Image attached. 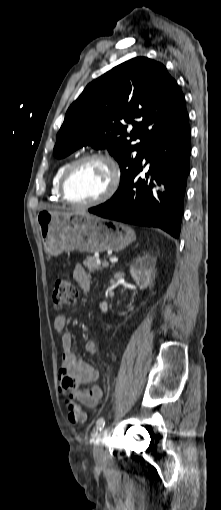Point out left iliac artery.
<instances>
[{
  "instance_id": "44dca946",
  "label": "left iliac artery",
  "mask_w": 221,
  "mask_h": 510,
  "mask_svg": "<svg viewBox=\"0 0 221 510\" xmlns=\"http://www.w3.org/2000/svg\"><path fill=\"white\" fill-rule=\"evenodd\" d=\"M96 425H97V428H98L99 430H102V428H103V427H104V425H105V420H104V418H103V417L99 418V419L97 420V422H96Z\"/></svg>"
}]
</instances>
